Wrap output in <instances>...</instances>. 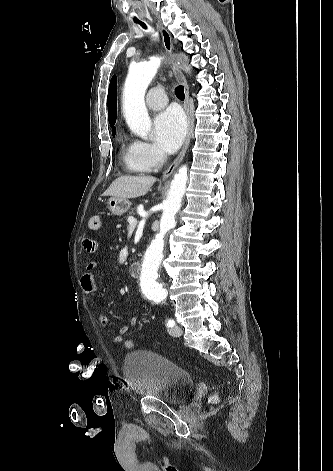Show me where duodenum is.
Instances as JSON below:
<instances>
[{
    "instance_id": "1",
    "label": "duodenum",
    "mask_w": 333,
    "mask_h": 471,
    "mask_svg": "<svg viewBox=\"0 0 333 471\" xmlns=\"http://www.w3.org/2000/svg\"><path fill=\"white\" fill-rule=\"evenodd\" d=\"M128 272L132 277H138L141 272V263L136 261L128 266Z\"/></svg>"
}]
</instances>
